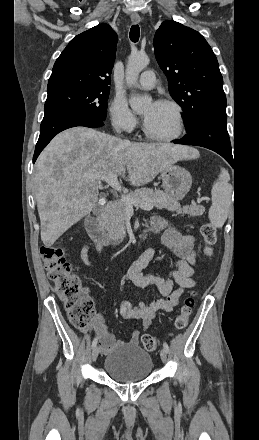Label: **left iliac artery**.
Listing matches in <instances>:
<instances>
[{
  "label": "left iliac artery",
  "instance_id": "1",
  "mask_svg": "<svg viewBox=\"0 0 259 440\" xmlns=\"http://www.w3.org/2000/svg\"><path fill=\"white\" fill-rule=\"evenodd\" d=\"M163 347L166 350V352H169V347H168V344L166 342L163 343Z\"/></svg>",
  "mask_w": 259,
  "mask_h": 440
}]
</instances>
